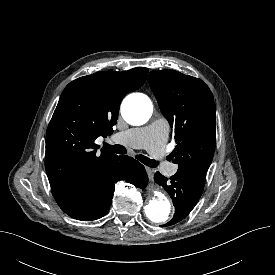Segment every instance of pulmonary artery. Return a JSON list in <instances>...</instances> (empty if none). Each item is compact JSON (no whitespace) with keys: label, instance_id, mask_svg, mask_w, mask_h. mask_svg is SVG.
I'll return each mask as SVG.
<instances>
[{"label":"pulmonary artery","instance_id":"obj_1","mask_svg":"<svg viewBox=\"0 0 275 275\" xmlns=\"http://www.w3.org/2000/svg\"><path fill=\"white\" fill-rule=\"evenodd\" d=\"M166 138L167 126L162 121H156L146 127L118 132L114 136V139L119 143L146 149L153 158L159 161L163 159V145ZM162 167L168 175H174L177 171V166L171 163L163 162Z\"/></svg>","mask_w":275,"mask_h":275}]
</instances>
